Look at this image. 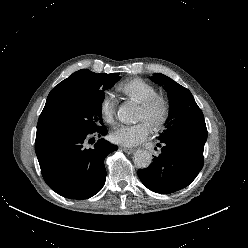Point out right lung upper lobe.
<instances>
[{
	"mask_svg": "<svg viewBox=\"0 0 248 248\" xmlns=\"http://www.w3.org/2000/svg\"><path fill=\"white\" fill-rule=\"evenodd\" d=\"M86 69L73 73L70 77L55 86L48 95L44 109L60 105L83 94L88 77Z\"/></svg>",
	"mask_w": 248,
	"mask_h": 248,
	"instance_id": "1",
	"label": "right lung upper lobe"
}]
</instances>
